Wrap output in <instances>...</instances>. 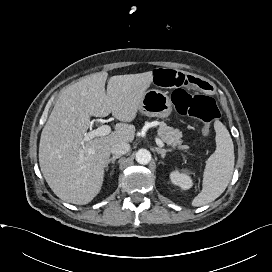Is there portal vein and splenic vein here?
<instances>
[{"mask_svg": "<svg viewBox=\"0 0 272 272\" xmlns=\"http://www.w3.org/2000/svg\"><path fill=\"white\" fill-rule=\"evenodd\" d=\"M111 132V127L109 125H102L100 127H98L97 129H94L92 131H89L88 133L85 134L83 141H90L93 138L96 137H102V136H106ZM156 143L159 147H163L164 143L162 142V140H160L159 138H156Z\"/></svg>", "mask_w": 272, "mask_h": 272, "instance_id": "18ae733b", "label": "portal vein and splenic vein"}]
</instances>
